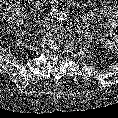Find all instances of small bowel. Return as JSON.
Masks as SVG:
<instances>
[{
    "label": "small bowel",
    "mask_w": 118,
    "mask_h": 118,
    "mask_svg": "<svg viewBox=\"0 0 118 118\" xmlns=\"http://www.w3.org/2000/svg\"><path fill=\"white\" fill-rule=\"evenodd\" d=\"M102 15L106 20L107 27L114 29L118 27V4L111 1L103 7Z\"/></svg>",
    "instance_id": "obj_1"
}]
</instances>
